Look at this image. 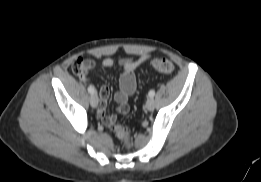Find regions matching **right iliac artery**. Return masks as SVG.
<instances>
[{
	"label": "right iliac artery",
	"instance_id": "1",
	"mask_svg": "<svg viewBox=\"0 0 261 182\" xmlns=\"http://www.w3.org/2000/svg\"><path fill=\"white\" fill-rule=\"evenodd\" d=\"M88 92H89L90 94H94V93L96 92V90H95V88H94L93 86H89V87H88Z\"/></svg>",
	"mask_w": 261,
	"mask_h": 182
}]
</instances>
